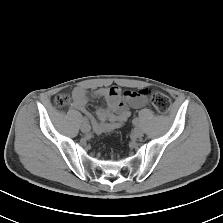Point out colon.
I'll return each mask as SVG.
<instances>
[{"label":"colon","mask_w":223,"mask_h":223,"mask_svg":"<svg viewBox=\"0 0 223 223\" xmlns=\"http://www.w3.org/2000/svg\"><path fill=\"white\" fill-rule=\"evenodd\" d=\"M153 108L160 114H165L170 108V100L160 92H153L150 95ZM54 103L57 107H65L70 104V97L66 94H59L55 97Z\"/></svg>","instance_id":"1"}]
</instances>
